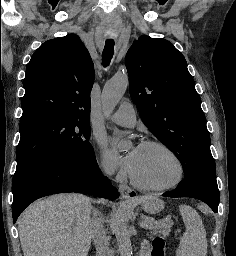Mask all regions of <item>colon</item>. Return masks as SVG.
Returning a JSON list of instances; mask_svg holds the SVG:
<instances>
[{
  "label": "colon",
  "mask_w": 236,
  "mask_h": 256,
  "mask_svg": "<svg viewBox=\"0 0 236 256\" xmlns=\"http://www.w3.org/2000/svg\"><path fill=\"white\" fill-rule=\"evenodd\" d=\"M166 240L161 234L154 236L150 256H166Z\"/></svg>",
  "instance_id": "5ec220e1"
}]
</instances>
